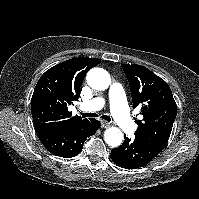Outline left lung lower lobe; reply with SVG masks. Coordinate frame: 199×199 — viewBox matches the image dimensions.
<instances>
[{
	"mask_svg": "<svg viewBox=\"0 0 199 199\" xmlns=\"http://www.w3.org/2000/svg\"><path fill=\"white\" fill-rule=\"evenodd\" d=\"M161 151L151 144L135 137L131 140L125 136L123 144L111 151L113 162L125 169H136L147 165Z\"/></svg>",
	"mask_w": 199,
	"mask_h": 199,
	"instance_id": "obj_1",
	"label": "left lung lower lobe"
}]
</instances>
